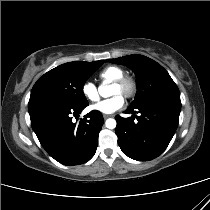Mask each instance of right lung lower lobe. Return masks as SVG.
Masks as SVG:
<instances>
[{
    "label": "right lung lower lobe",
    "instance_id": "obj_1",
    "mask_svg": "<svg viewBox=\"0 0 210 210\" xmlns=\"http://www.w3.org/2000/svg\"><path fill=\"white\" fill-rule=\"evenodd\" d=\"M87 105L49 103L29 111L31 126L41 145L61 164L85 163L96 152L103 125L102 114L93 110L77 125L71 118V114L78 115Z\"/></svg>",
    "mask_w": 210,
    "mask_h": 210
}]
</instances>
